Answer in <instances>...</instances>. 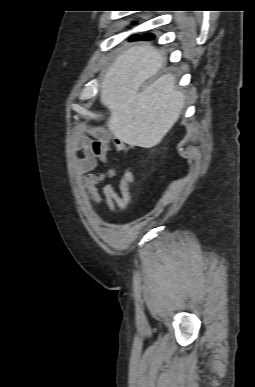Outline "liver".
<instances>
[{"instance_id":"obj_1","label":"liver","mask_w":255,"mask_h":387,"mask_svg":"<svg viewBox=\"0 0 255 387\" xmlns=\"http://www.w3.org/2000/svg\"><path fill=\"white\" fill-rule=\"evenodd\" d=\"M164 63L160 50L149 43L122 51L101 82L100 101L109 109V131L130 146L152 148L178 120L185 96L167 73L139 92Z\"/></svg>"}]
</instances>
